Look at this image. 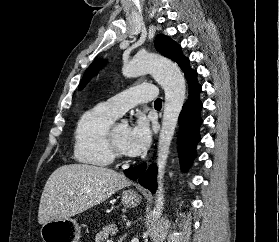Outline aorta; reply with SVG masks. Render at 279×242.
<instances>
[{
    "instance_id": "aorta-1",
    "label": "aorta",
    "mask_w": 279,
    "mask_h": 242,
    "mask_svg": "<svg viewBox=\"0 0 279 242\" xmlns=\"http://www.w3.org/2000/svg\"><path fill=\"white\" fill-rule=\"evenodd\" d=\"M125 77H137L146 73L153 75L155 80L163 87L165 104L162 127L159 134L157 166L158 188L156 191L155 207L151 213L153 221H157L164 208V175L170 145L177 126L179 114L185 100V79L179 67L171 60L155 54H137L122 69ZM126 124V121H123Z\"/></svg>"
}]
</instances>
